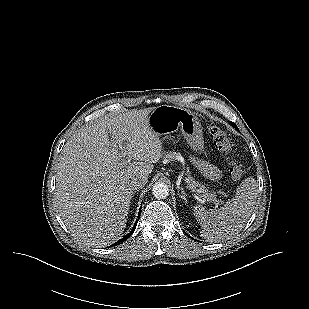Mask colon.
Here are the masks:
<instances>
[{
  "label": "colon",
  "mask_w": 309,
  "mask_h": 309,
  "mask_svg": "<svg viewBox=\"0 0 309 309\" xmlns=\"http://www.w3.org/2000/svg\"><path fill=\"white\" fill-rule=\"evenodd\" d=\"M208 131L215 146L226 156L230 176L234 181H239L244 174V167L237 158L236 147L231 137L220 127L209 124Z\"/></svg>",
  "instance_id": "colon-1"
}]
</instances>
